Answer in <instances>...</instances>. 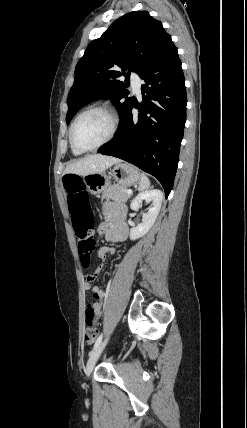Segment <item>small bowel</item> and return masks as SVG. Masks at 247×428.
Returning a JSON list of instances; mask_svg holds the SVG:
<instances>
[{"instance_id":"1","label":"small bowel","mask_w":247,"mask_h":428,"mask_svg":"<svg viewBox=\"0 0 247 428\" xmlns=\"http://www.w3.org/2000/svg\"><path fill=\"white\" fill-rule=\"evenodd\" d=\"M103 214L106 219V223L103 226V229L111 241L114 242H123L128 238L129 230L128 226L125 223V208L123 206H116L111 203H107L103 207ZM114 254V249L110 247L103 246L97 252V257L99 260L104 261L109 255ZM101 267L98 268L100 271ZM88 280L93 279V275L87 276ZM85 290H90L93 298H97L98 301H102L105 294L102 289L98 286L93 285L91 282L86 281L84 283ZM102 306V304H101ZM86 321V317H85Z\"/></svg>"}]
</instances>
